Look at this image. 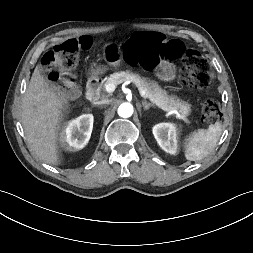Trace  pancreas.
<instances>
[{
	"mask_svg": "<svg viewBox=\"0 0 253 253\" xmlns=\"http://www.w3.org/2000/svg\"><path fill=\"white\" fill-rule=\"evenodd\" d=\"M126 81H131L138 88L145 90L147 96L146 98L151 100L154 104L164 109L165 111L177 110L184 116L190 114V106L188 104L175 106L173 104V100L167 95L165 91H163L159 87V85L156 82L141 77L139 74L136 73H132L129 71H121L113 73L104 81V87L109 83L119 85Z\"/></svg>",
	"mask_w": 253,
	"mask_h": 253,
	"instance_id": "pancreas-1",
	"label": "pancreas"
}]
</instances>
